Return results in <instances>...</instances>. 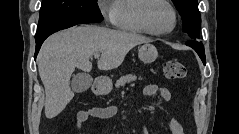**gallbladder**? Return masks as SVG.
Segmentation results:
<instances>
[{"mask_svg": "<svg viewBox=\"0 0 239 134\" xmlns=\"http://www.w3.org/2000/svg\"><path fill=\"white\" fill-rule=\"evenodd\" d=\"M92 84V77L88 74H77L72 79V89L77 92L81 93L87 90Z\"/></svg>", "mask_w": 239, "mask_h": 134, "instance_id": "bac80fb5", "label": "gallbladder"}]
</instances>
